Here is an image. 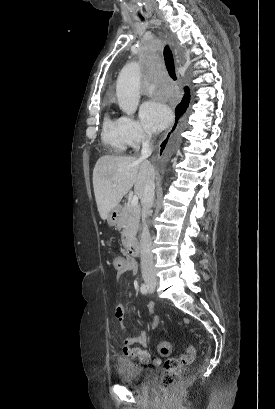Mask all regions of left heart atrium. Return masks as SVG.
<instances>
[{
  "label": "left heart atrium",
  "instance_id": "39dd6f15",
  "mask_svg": "<svg viewBox=\"0 0 275 409\" xmlns=\"http://www.w3.org/2000/svg\"><path fill=\"white\" fill-rule=\"evenodd\" d=\"M141 116L154 132L161 131L167 127L172 120L170 109L161 101H149L144 103L141 107Z\"/></svg>",
  "mask_w": 275,
  "mask_h": 409
}]
</instances>
